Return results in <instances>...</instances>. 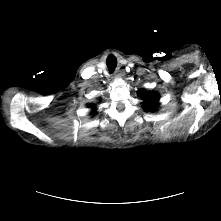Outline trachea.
I'll return each mask as SVG.
<instances>
[{
  "label": "trachea",
  "instance_id": "1",
  "mask_svg": "<svg viewBox=\"0 0 221 221\" xmlns=\"http://www.w3.org/2000/svg\"><path fill=\"white\" fill-rule=\"evenodd\" d=\"M108 67H109V71H110V72H113L114 69H115V67H116V63H115V64L108 65Z\"/></svg>",
  "mask_w": 221,
  "mask_h": 221
}]
</instances>
